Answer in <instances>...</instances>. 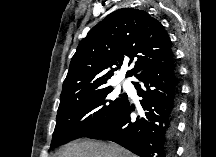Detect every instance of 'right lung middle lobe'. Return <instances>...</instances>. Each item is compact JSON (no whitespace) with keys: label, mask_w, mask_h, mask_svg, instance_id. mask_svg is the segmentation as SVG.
I'll return each mask as SVG.
<instances>
[{"label":"right lung middle lobe","mask_w":216,"mask_h":157,"mask_svg":"<svg viewBox=\"0 0 216 157\" xmlns=\"http://www.w3.org/2000/svg\"><path fill=\"white\" fill-rule=\"evenodd\" d=\"M111 86L60 99L51 147L85 137L111 121L127 101Z\"/></svg>","instance_id":"dd1d6c3e"}]
</instances>
